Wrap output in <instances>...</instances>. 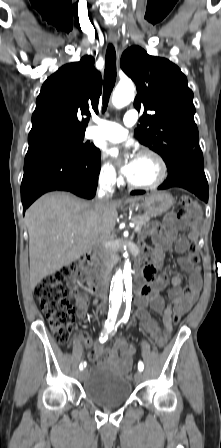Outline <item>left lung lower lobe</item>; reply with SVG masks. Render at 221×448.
Returning a JSON list of instances; mask_svg holds the SVG:
<instances>
[{
  "instance_id": "left-lung-lower-lobe-1",
  "label": "left lung lower lobe",
  "mask_w": 221,
  "mask_h": 448,
  "mask_svg": "<svg viewBox=\"0 0 221 448\" xmlns=\"http://www.w3.org/2000/svg\"><path fill=\"white\" fill-rule=\"evenodd\" d=\"M168 177L158 189L182 187L208 202V183L204 173L202 151L180 154L166 163ZM143 190L132 191L131 194H144Z\"/></svg>"
}]
</instances>
